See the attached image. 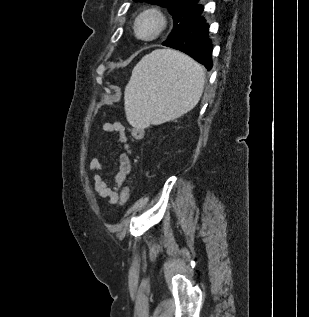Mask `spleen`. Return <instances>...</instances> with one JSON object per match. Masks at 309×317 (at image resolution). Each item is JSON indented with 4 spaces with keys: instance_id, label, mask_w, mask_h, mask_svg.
<instances>
[{
    "instance_id": "1",
    "label": "spleen",
    "mask_w": 309,
    "mask_h": 317,
    "mask_svg": "<svg viewBox=\"0 0 309 317\" xmlns=\"http://www.w3.org/2000/svg\"><path fill=\"white\" fill-rule=\"evenodd\" d=\"M204 84L199 63L175 50L156 49L134 67L125 88L127 120L145 128L177 119L197 105Z\"/></svg>"
}]
</instances>
